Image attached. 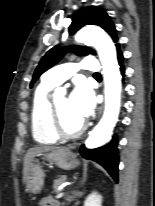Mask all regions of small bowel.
Returning <instances> with one entry per match:
<instances>
[{
  "mask_svg": "<svg viewBox=\"0 0 155 206\" xmlns=\"http://www.w3.org/2000/svg\"><path fill=\"white\" fill-rule=\"evenodd\" d=\"M42 206H58V205H57L56 201H54L53 199L48 198V199L44 200Z\"/></svg>",
  "mask_w": 155,
  "mask_h": 206,
  "instance_id": "1",
  "label": "small bowel"
}]
</instances>
